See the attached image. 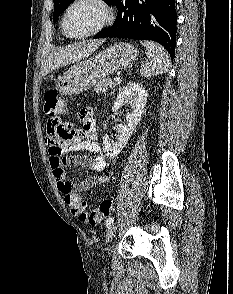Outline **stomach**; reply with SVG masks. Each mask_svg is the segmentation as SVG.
<instances>
[{
	"label": "stomach",
	"mask_w": 233,
	"mask_h": 294,
	"mask_svg": "<svg viewBox=\"0 0 233 294\" xmlns=\"http://www.w3.org/2000/svg\"><path fill=\"white\" fill-rule=\"evenodd\" d=\"M138 55L134 45L115 43L59 75L55 80L56 89L63 95L80 94L106 76L132 65Z\"/></svg>",
	"instance_id": "stomach-1"
}]
</instances>
